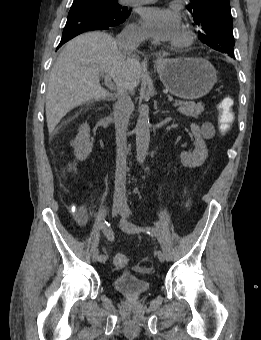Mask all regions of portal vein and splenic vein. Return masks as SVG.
<instances>
[{
  "mask_svg": "<svg viewBox=\"0 0 261 340\" xmlns=\"http://www.w3.org/2000/svg\"><path fill=\"white\" fill-rule=\"evenodd\" d=\"M100 74H101V76L104 77V82H105L106 87L110 90H115L116 87H115L114 83L111 81L109 75L106 72H101ZM180 105H181L180 102H175V103L172 104L173 107H178Z\"/></svg>",
  "mask_w": 261,
  "mask_h": 340,
  "instance_id": "1",
  "label": "portal vein and splenic vein"
}]
</instances>
